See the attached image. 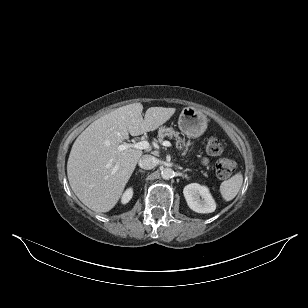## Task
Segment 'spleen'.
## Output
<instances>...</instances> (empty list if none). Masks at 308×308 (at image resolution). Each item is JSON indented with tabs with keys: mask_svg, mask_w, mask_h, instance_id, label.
Masks as SVG:
<instances>
[{
	"mask_svg": "<svg viewBox=\"0 0 308 308\" xmlns=\"http://www.w3.org/2000/svg\"><path fill=\"white\" fill-rule=\"evenodd\" d=\"M243 183V175L237 173L220 185V193L225 201H230L236 197Z\"/></svg>",
	"mask_w": 308,
	"mask_h": 308,
	"instance_id": "obj_1",
	"label": "spleen"
}]
</instances>
